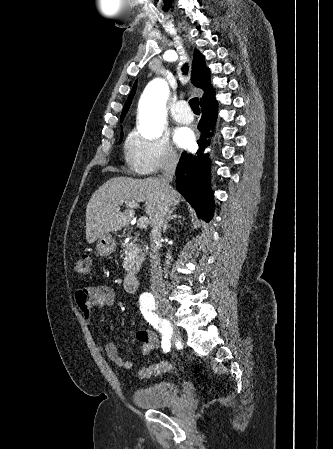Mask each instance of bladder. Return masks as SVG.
Segmentation results:
<instances>
[{
    "instance_id": "obj_1",
    "label": "bladder",
    "mask_w": 333,
    "mask_h": 449,
    "mask_svg": "<svg viewBox=\"0 0 333 449\" xmlns=\"http://www.w3.org/2000/svg\"><path fill=\"white\" fill-rule=\"evenodd\" d=\"M181 396V389L172 381H162L135 389L133 401L137 407L159 409L173 406Z\"/></svg>"
}]
</instances>
